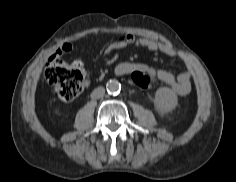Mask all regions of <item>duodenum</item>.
<instances>
[{"mask_svg":"<svg viewBox=\"0 0 236 182\" xmlns=\"http://www.w3.org/2000/svg\"><path fill=\"white\" fill-rule=\"evenodd\" d=\"M128 71H129L128 66L122 65V66H120V67H118V68L116 69L115 73H116L117 75H125V74L128 73Z\"/></svg>","mask_w":236,"mask_h":182,"instance_id":"1","label":"duodenum"}]
</instances>
